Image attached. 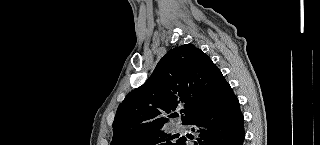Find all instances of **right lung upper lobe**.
<instances>
[{
  "label": "right lung upper lobe",
  "instance_id": "1",
  "mask_svg": "<svg viewBox=\"0 0 320 145\" xmlns=\"http://www.w3.org/2000/svg\"><path fill=\"white\" fill-rule=\"evenodd\" d=\"M222 73L193 44L171 49L158 62L150 78L130 92L118 107L111 145H132L142 137L162 130L166 113L184 106L182 123L204 111Z\"/></svg>",
  "mask_w": 320,
  "mask_h": 145
}]
</instances>
